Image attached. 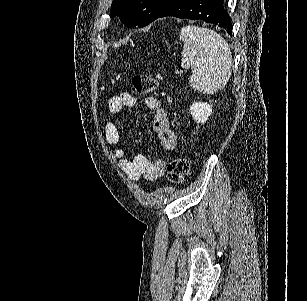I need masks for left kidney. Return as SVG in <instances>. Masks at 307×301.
Masks as SVG:
<instances>
[{"label":"left kidney","instance_id":"1","mask_svg":"<svg viewBox=\"0 0 307 301\" xmlns=\"http://www.w3.org/2000/svg\"><path fill=\"white\" fill-rule=\"evenodd\" d=\"M189 110L195 122L204 124V122L208 120L210 114H212V104H208V102H192Z\"/></svg>","mask_w":307,"mask_h":301}]
</instances>
